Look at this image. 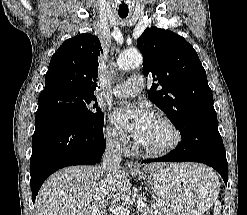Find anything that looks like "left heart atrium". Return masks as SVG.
<instances>
[{"mask_svg": "<svg viewBox=\"0 0 247 215\" xmlns=\"http://www.w3.org/2000/svg\"><path fill=\"white\" fill-rule=\"evenodd\" d=\"M111 119L118 129L131 134L139 143L143 141L157 120L155 115L144 107L132 105L116 108Z\"/></svg>", "mask_w": 247, "mask_h": 215, "instance_id": "39dd6f15", "label": "left heart atrium"}]
</instances>
